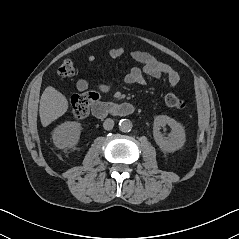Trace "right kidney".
Listing matches in <instances>:
<instances>
[{"mask_svg":"<svg viewBox=\"0 0 239 239\" xmlns=\"http://www.w3.org/2000/svg\"><path fill=\"white\" fill-rule=\"evenodd\" d=\"M81 126L77 122L67 121L56 127L52 133L53 143L58 148L75 146L80 138Z\"/></svg>","mask_w":239,"mask_h":239,"instance_id":"obj_1","label":"right kidney"}]
</instances>
